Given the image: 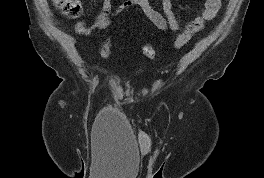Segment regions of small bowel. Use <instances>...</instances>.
<instances>
[{"mask_svg":"<svg viewBox=\"0 0 264 178\" xmlns=\"http://www.w3.org/2000/svg\"><path fill=\"white\" fill-rule=\"evenodd\" d=\"M132 6H137L143 14L161 31L175 32L179 30V22L173 10L172 0H161L162 11L155 9L150 0H123L116 8H112L111 0H102L101 8L92 25L84 21L75 24V31L79 35H90L98 30L107 28L111 17L117 16ZM221 7V0H205L200 15L195 17L185 27V31L192 35L199 32L206 21L212 20Z\"/></svg>","mask_w":264,"mask_h":178,"instance_id":"obj_1","label":"small bowel"}]
</instances>
